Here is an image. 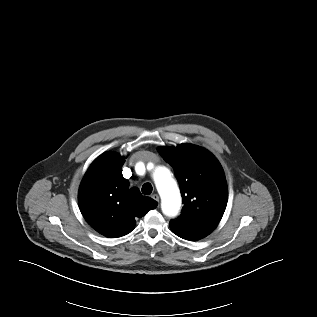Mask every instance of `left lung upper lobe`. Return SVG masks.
<instances>
[{
  "instance_id": "left-lung-upper-lobe-1",
  "label": "left lung upper lobe",
  "mask_w": 317,
  "mask_h": 317,
  "mask_svg": "<svg viewBox=\"0 0 317 317\" xmlns=\"http://www.w3.org/2000/svg\"><path fill=\"white\" fill-rule=\"evenodd\" d=\"M158 152L173 167L183 197L182 215L170 222L171 230L182 223L216 227L228 196L218 160L208 150L192 144L159 147Z\"/></svg>"
}]
</instances>
